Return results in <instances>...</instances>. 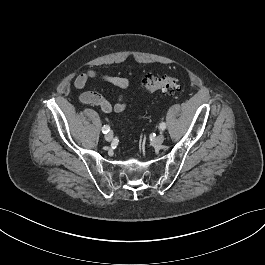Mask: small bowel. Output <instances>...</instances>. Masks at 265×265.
Listing matches in <instances>:
<instances>
[{"label":"small bowel","instance_id":"1","mask_svg":"<svg viewBox=\"0 0 265 265\" xmlns=\"http://www.w3.org/2000/svg\"><path fill=\"white\" fill-rule=\"evenodd\" d=\"M91 80H101L106 83L112 84L119 89L125 90L129 87L130 81L125 77L114 76L98 70H90L80 74L74 81L76 89L82 90L86 87ZM79 102L82 104L93 105L99 107L103 112H122L126 109L127 103L123 94H119L114 103L109 102L103 96L96 92L85 91L78 97Z\"/></svg>","mask_w":265,"mask_h":265}]
</instances>
